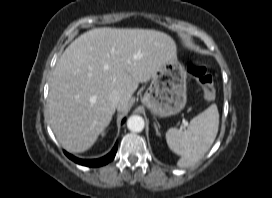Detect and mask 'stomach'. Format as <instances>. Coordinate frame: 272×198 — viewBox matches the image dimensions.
<instances>
[{"mask_svg": "<svg viewBox=\"0 0 272 198\" xmlns=\"http://www.w3.org/2000/svg\"><path fill=\"white\" fill-rule=\"evenodd\" d=\"M187 73L177 59L165 61L152 76L142 102L159 117L179 113L187 102Z\"/></svg>", "mask_w": 272, "mask_h": 198, "instance_id": "1", "label": "stomach"}]
</instances>
